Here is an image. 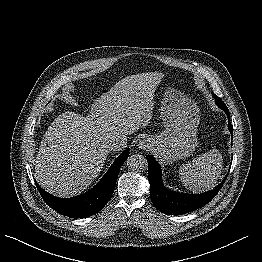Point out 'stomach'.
<instances>
[{"instance_id":"0dacf381","label":"stomach","mask_w":262,"mask_h":262,"mask_svg":"<svg viewBox=\"0 0 262 262\" xmlns=\"http://www.w3.org/2000/svg\"><path fill=\"white\" fill-rule=\"evenodd\" d=\"M164 131L152 136V146L165 163L189 157L198 145L197 130L200 123L198 106L174 88L164 92L160 107Z\"/></svg>"}]
</instances>
